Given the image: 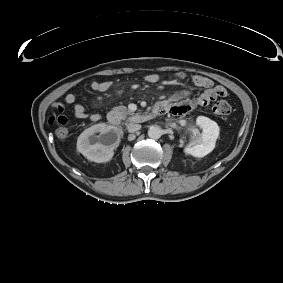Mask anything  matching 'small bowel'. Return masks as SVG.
Returning <instances> with one entry per match:
<instances>
[{"label": "small bowel", "mask_w": 283, "mask_h": 283, "mask_svg": "<svg viewBox=\"0 0 283 283\" xmlns=\"http://www.w3.org/2000/svg\"><path fill=\"white\" fill-rule=\"evenodd\" d=\"M185 78L184 73L177 74V80H183ZM145 79L153 84L159 83L160 78L156 73H150L146 75ZM192 83L203 89L196 97L190 98L188 92H182L175 94L161 102L164 108H169L171 113L175 116H183L188 113L194 106L205 107L217 98H222L227 95V91L220 85H214L213 81L203 75H194L192 77ZM113 81H94L91 84V88L96 92H104L109 90L113 86ZM73 106L74 116L78 119L89 118L91 121H98L101 118L99 113L89 114L86 108L77 102V97L73 93H69L65 96L63 102H56L53 104V108L57 110L61 115L58 116V120L62 121L67 118L63 115L66 106Z\"/></svg>", "instance_id": "obj_1"}]
</instances>
